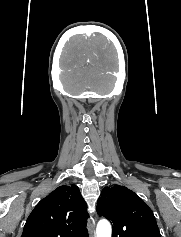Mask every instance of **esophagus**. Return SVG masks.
I'll list each match as a JSON object with an SVG mask.
<instances>
[{
    "instance_id": "1",
    "label": "esophagus",
    "mask_w": 181,
    "mask_h": 237,
    "mask_svg": "<svg viewBox=\"0 0 181 237\" xmlns=\"http://www.w3.org/2000/svg\"><path fill=\"white\" fill-rule=\"evenodd\" d=\"M94 228H95V221L93 220V222L91 223L90 237H95Z\"/></svg>"
}]
</instances>
